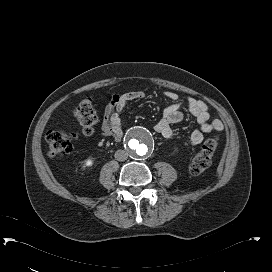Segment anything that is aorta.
<instances>
[{
  "instance_id": "762f6f07",
  "label": "aorta",
  "mask_w": 272,
  "mask_h": 272,
  "mask_svg": "<svg viewBox=\"0 0 272 272\" xmlns=\"http://www.w3.org/2000/svg\"><path fill=\"white\" fill-rule=\"evenodd\" d=\"M153 146V137L146 128L134 127L127 133L126 148L131 157L144 158L151 152Z\"/></svg>"
}]
</instances>
